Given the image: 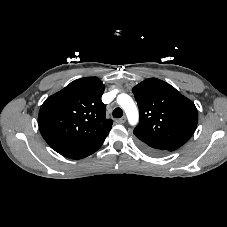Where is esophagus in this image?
Segmentation results:
<instances>
[{
	"mask_svg": "<svg viewBox=\"0 0 227 227\" xmlns=\"http://www.w3.org/2000/svg\"><path fill=\"white\" fill-rule=\"evenodd\" d=\"M126 122V116H123L122 118L118 119V123L123 124Z\"/></svg>",
	"mask_w": 227,
	"mask_h": 227,
	"instance_id": "1",
	"label": "esophagus"
}]
</instances>
